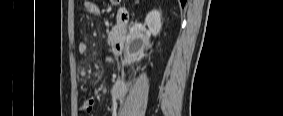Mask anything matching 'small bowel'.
<instances>
[{
	"label": "small bowel",
	"mask_w": 283,
	"mask_h": 116,
	"mask_svg": "<svg viewBox=\"0 0 283 116\" xmlns=\"http://www.w3.org/2000/svg\"><path fill=\"white\" fill-rule=\"evenodd\" d=\"M81 9L83 12L92 14L95 16H101L102 12L101 9L92 1H83ZM78 51L81 54H86L88 51V45L85 42H80L78 44ZM94 107V100L93 99H87L82 104V110L85 112H91ZM110 110L114 112L116 110V106L113 104L110 107Z\"/></svg>",
	"instance_id": "obj_1"
}]
</instances>
